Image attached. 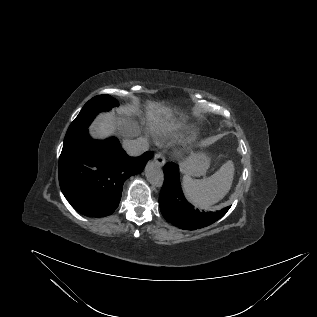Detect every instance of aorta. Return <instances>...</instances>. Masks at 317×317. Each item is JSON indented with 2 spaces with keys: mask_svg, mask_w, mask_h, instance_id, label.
Here are the masks:
<instances>
[{
  "mask_svg": "<svg viewBox=\"0 0 317 317\" xmlns=\"http://www.w3.org/2000/svg\"><path fill=\"white\" fill-rule=\"evenodd\" d=\"M145 175L149 183L154 187H161L164 182V174L158 161H149L145 167Z\"/></svg>",
  "mask_w": 317,
  "mask_h": 317,
  "instance_id": "obj_1",
  "label": "aorta"
}]
</instances>
